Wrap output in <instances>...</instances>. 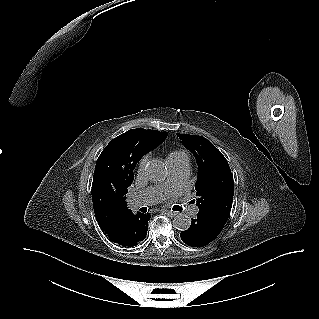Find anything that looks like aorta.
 <instances>
[{"label": "aorta", "instance_id": "1", "mask_svg": "<svg viewBox=\"0 0 319 319\" xmlns=\"http://www.w3.org/2000/svg\"><path fill=\"white\" fill-rule=\"evenodd\" d=\"M145 175L153 182L164 181L167 176L166 165L160 160H151L145 166ZM191 225V219L188 215L179 213L173 219V227L184 231Z\"/></svg>", "mask_w": 319, "mask_h": 319}]
</instances>
